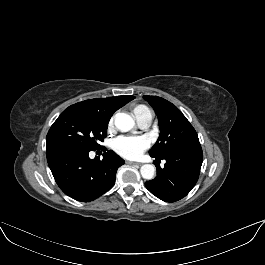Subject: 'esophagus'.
<instances>
[{"instance_id": "34e87169", "label": "esophagus", "mask_w": 265, "mask_h": 265, "mask_svg": "<svg viewBox=\"0 0 265 265\" xmlns=\"http://www.w3.org/2000/svg\"><path fill=\"white\" fill-rule=\"evenodd\" d=\"M129 164H132V165H138V166H141L142 164L139 163V162H128Z\"/></svg>"}]
</instances>
